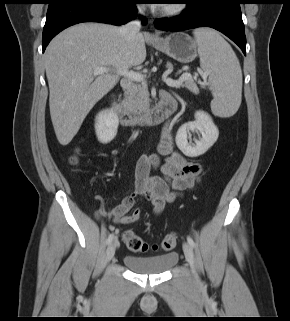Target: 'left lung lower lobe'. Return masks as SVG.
<instances>
[{
	"instance_id": "left-lung-lower-lobe-1",
	"label": "left lung lower lobe",
	"mask_w": 290,
	"mask_h": 321,
	"mask_svg": "<svg viewBox=\"0 0 290 321\" xmlns=\"http://www.w3.org/2000/svg\"><path fill=\"white\" fill-rule=\"evenodd\" d=\"M181 15L154 22L159 30L182 31L197 27L214 28L233 40L246 55V37L240 4L242 0H185Z\"/></svg>"
}]
</instances>
